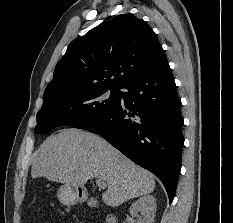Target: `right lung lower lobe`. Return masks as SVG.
Segmentation results:
<instances>
[{"mask_svg": "<svg viewBox=\"0 0 233 223\" xmlns=\"http://www.w3.org/2000/svg\"><path fill=\"white\" fill-rule=\"evenodd\" d=\"M119 89L125 91H119L114 109L79 128L100 134L133 162L155 174L171 202L184 144L181 101L171 69L166 63Z\"/></svg>", "mask_w": 233, "mask_h": 223, "instance_id": "98d812e1", "label": "right lung lower lobe"}]
</instances>
